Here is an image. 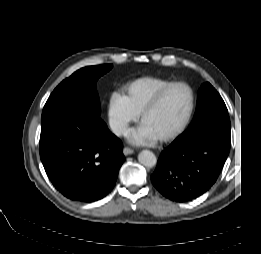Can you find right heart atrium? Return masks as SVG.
I'll use <instances>...</instances> for the list:
<instances>
[{
    "mask_svg": "<svg viewBox=\"0 0 261 254\" xmlns=\"http://www.w3.org/2000/svg\"><path fill=\"white\" fill-rule=\"evenodd\" d=\"M137 118L138 114L132 108L127 95L121 92L114 93L109 104V119L114 133L124 135Z\"/></svg>",
    "mask_w": 261,
    "mask_h": 254,
    "instance_id": "obj_1",
    "label": "right heart atrium"
}]
</instances>
